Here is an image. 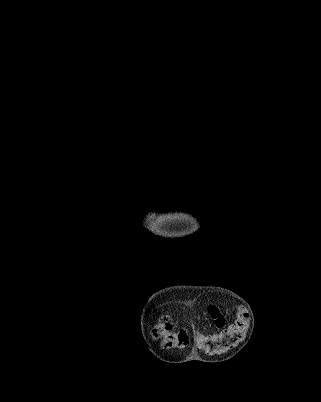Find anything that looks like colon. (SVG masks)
Instances as JSON below:
<instances>
[{
  "label": "colon",
  "mask_w": 321,
  "mask_h": 402,
  "mask_svg": "<svg viewBox=\"0 0 321 402\" xmlns=\"http://www.w3.org/2000/svg\"><path fill=\"white\" fill-rule=\"evenodd\" d=\"M249 326V316L245 310H240L235 321L218 333L199 335L197 345L207 353H217L235 345L245 334ZM154 337L167 348H183L189 341L185 331L173 328L167 320L160 322L154 329Z\"/></svg>",
  "instance_id": "obj_1"
}]
</instances>
